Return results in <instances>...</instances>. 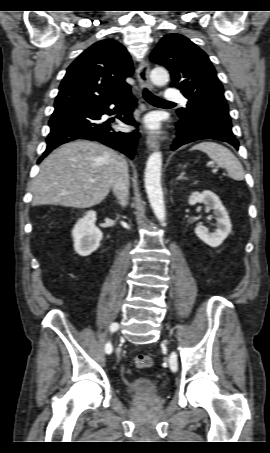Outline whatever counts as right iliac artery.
Returning a JSON list of instances; mask_svg holds the SVG:
<instances>
[{
  "label": "right iliac artery",
  "mask_w": 270,
  "mask_h": 453,
  "mask_svg": "<svg viewBox=\"0 0 270 453\" xmlns=\"http://www.w3.org/2000/svg\"><path fill=\"white\" fill-rule=\"evenodd\" d=\"M117 329H118V324H117V323L111 324V326H110L111 332H114V331H116ZM112 350H113L112 345H111L110 342H108V343L106 344L105 351H106L107 354H111V353H112Z\"/></svg>",
  "instance_id": "1"
}]
</instances>
